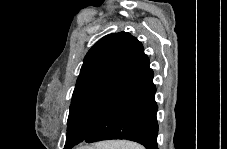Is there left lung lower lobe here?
I'll use <instances>...</instances> for the list:
<instances>
[{
  "mask_svg": "<svg viewBox=\"0 0 227 149\" xmlns=\"http://www.w3.org/2000/svg\"><path fill=\"white\" fill-rule=\"evenodd\" d=\"M144 50L122 93L83 142L125 139L158 149V110L153 70Z\"/></svg>",
  "mask_w": 227,
  "mask_h": 149,
  "instance_id": "left-lung-lower-lobe-1",
  "label": "left lung lower lobe"
}]
</instances>
